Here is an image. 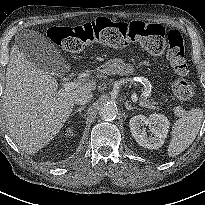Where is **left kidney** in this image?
<instances>
[{
  "mask_svg": "<svg viewBox=\"0 0 205 205\" xmlns=\"http://www.w3.org/2000/svg\"><path fill=\"white\" fill-rule=\"evenodd\" d=\"M154 124L156 130L153 136L147 137L144 125ZM132 137L136 142L147 149H158L164 143L169 130V120L162 114H151L149 117L136 115L129 121Z\"/></svg>",
  "mask_w": 205,
  "mask_h": 205,
  "instance_id": "obj_1",
  "label": "left kidney"
}]
</instances>
